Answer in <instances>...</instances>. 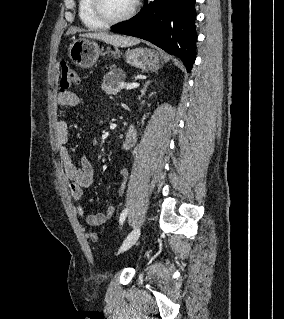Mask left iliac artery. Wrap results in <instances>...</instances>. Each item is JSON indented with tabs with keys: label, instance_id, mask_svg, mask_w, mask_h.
Returning a JSON list of instances; mask_svg holds the SVG:
<instances>
[{
	"label": "left iliac artery",
	"instance_id": "44dca946",
	"mask_svg": "<svg viewBox=\"0 0 284 319\" xmlns=\"http://www.w3.org/2000/svg\"><path fill=\"white\" fill-rule=\"evenodd\" d=\"M127 214H128V209L126 208V209H124V210L121 212V214H120V219H119L120 224H123V222H124L125 219H126Z\"/></svg>",
	"mask_w": 284,
	"mask_h": 319
}]
</instances>
